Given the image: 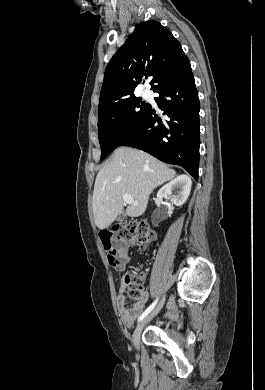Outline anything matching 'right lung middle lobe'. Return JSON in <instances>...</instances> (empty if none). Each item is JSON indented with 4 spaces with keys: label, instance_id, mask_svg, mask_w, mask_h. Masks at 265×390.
I'll list each match as a JSON object with an SVG mask.
<instances>
[{
    "label": "right lung middle lobe",
    "instance_id": "obj_1",
    "mask_svg": "<svg viewBox=\"0 0 265 390\" xmlns=\"http://www.w3.org/2000/svg\"><path fill=\"white\" fill-rule=\"evenodd\" d=\"M150 105L135 96L98 112L101 160L132 133L145 118Z\"/></svg>",
    "mask_w": 265,
    "mask_h": 390
}]
</instances>
